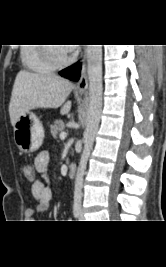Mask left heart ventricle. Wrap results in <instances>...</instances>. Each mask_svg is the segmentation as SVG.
Returning <instances> with one entry per match:
<instances>
[{
  "label": "left heart ventricle",
  "mask_w": 166,
  "mask_h": 267,
  "mask_svg": "<svg viewBox=\"0 0 166 267\" xmlns=\"http://www.w3.org/2000/svg\"><path fill=\"white\" fill-rule=\"evenodd\" d=\"M55 49L58 52L60 57H63L67 54V50L64 47L58 46V47H55Z\"/></svg>",
  "instance_id": "1"
}]
</instances>
